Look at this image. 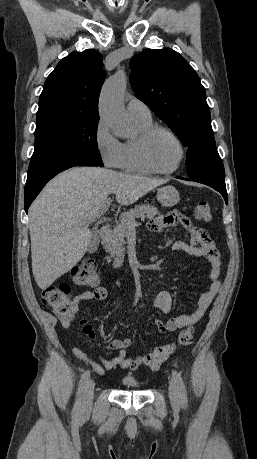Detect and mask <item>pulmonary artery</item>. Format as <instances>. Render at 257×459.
Segmentation results:
<instances>
[{
	"label": "pulmonary artery",
	"mask_w": 257,
	"mask_h": 459,
	"mask_svg": "<svg viewBox=\"0 0 257 459\" xmlns=\"http://www.w3.org/2000/svg\"><path fill=\"white\" fill-rule=\"evenodd\" d=\"M127 111L131 117L150 119L151 111L149 107L137 98H132L127 104Z\"/></svg>",
	"instance_id": "pulmonary-artery-1"
}]
</instances>
